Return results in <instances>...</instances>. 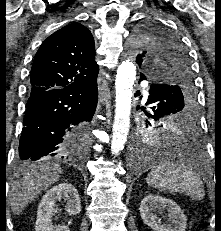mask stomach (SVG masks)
<instances>
[{
  "label": "stomach",
  "mask_w": 221,
  "mask_h": 231,
  "mask_svg": "<svg viewBox=\"0 0 221 231\" xmlns=\"http://www.w3.org/2000/svg\"><path fill=\"white\" fill-rule=\"evenodd\" d=\"M175 128H176V124L168 125V126H167V130L164 131L163 133L172 131V130L175 129Z\"/></svg>",
  "instance_id": "0dacf381"
}]
</instances>
